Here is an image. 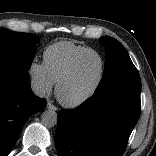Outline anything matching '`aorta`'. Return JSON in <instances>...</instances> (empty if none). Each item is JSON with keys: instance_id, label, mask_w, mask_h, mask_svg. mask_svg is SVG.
<instances>
[{"instance_id": "1", "label": "aorta", "mask_w": 156, "mask_h": 156, "mask_svg": "<svg viewBox=\"0 0 156 156\" xmlns=\"http://www.w3.org/2000/svg\"><path fill=\"white\" fill-rule=\"evenodd\" d=\"M58 116L53 110H46L42 114V123L46 127H54L57 124Z\"/></svg>"}]
</instances>
